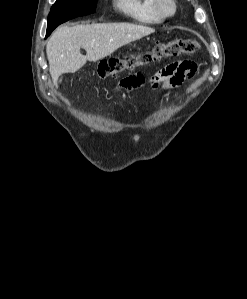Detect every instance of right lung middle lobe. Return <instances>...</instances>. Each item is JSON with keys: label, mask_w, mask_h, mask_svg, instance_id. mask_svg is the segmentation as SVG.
<instances>
[{"label": "right lung middle lobe", "mask_w": 247, "mask_h": 299, "mask_svg": "<svg viewBox=\"0 0 247 299\" xmlns=\"http://www.w3.org/2000/svg\"><path fill=\"white\" fill-rule=\"evenodd\" d=\"M96 4L97 0H57L48 16L46 37L61 23L94 13Z\"/></svg>", "instance_id": "1"}]
</instances>
